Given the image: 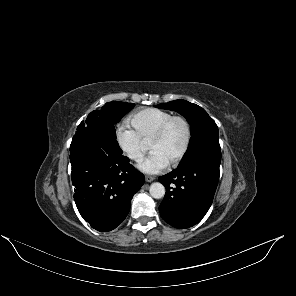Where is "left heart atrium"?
Instances as JSON below:
<instances>
[{"label":"left heart atrium","instance_id":"left-heart-atrium-1","mask_svg":"<svg viewBox=\"0 0 296 296\" xmlns=\"http://www.w3.org/2000/svg\"><path fill=\"white\" fill-rule=\"evenodd\" d=\"M170 161L160 152H152L141 164L139 169L145 173L155 174L165 170Z\"/></svg>","mask_w":296,"mask_h":296}]
</instances>
